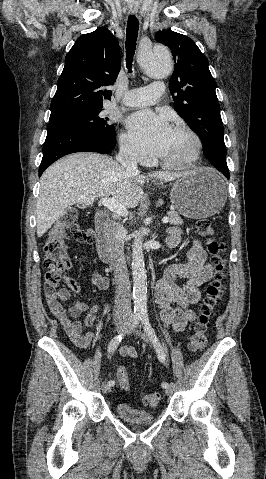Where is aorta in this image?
I'll return each mask as SVG.
<instances>
[{
	"instance_id": "762f6f07",
	"label": "aorta",
	"mask_w": 266,
	"mask_h": 479,
	"mask_svg": "<svg viewBox=\"0 0 266 479\" xmlns=\"http://www.w3.org/2000/svg\"><path fill=\"white\" fill-rule=\"evenodd\" d=\"M139 65L152 77L164 78L172 71V58L169 50L154 44L138 53ZM133 300L136 314L147 313V275L144 262L142 238L136 232L132 246Z\"/></svg>"
}]
</instances>
